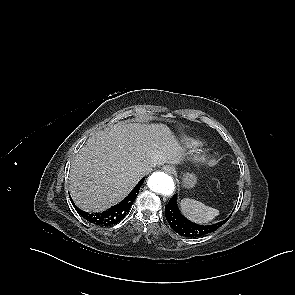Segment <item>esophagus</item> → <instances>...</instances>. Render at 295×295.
<instances>
[{
    "label": "esophagus",
    "mask_w": 295,
    "mask_h": 295,
    "mask_svg": "<svg viewBox=\"0 0 295 295\" xmlns=\"http://www.w3.org/2000/svg\"><path fill=\"white\" fill-rule=\"evenodd\" d=\"M162 169L169 174H173L175 172V169L170 165H165Z\"/></svg>",
    "instance_id": "1"
}]
</instances>
